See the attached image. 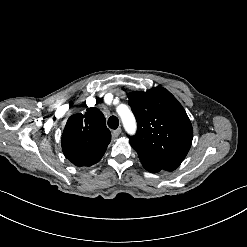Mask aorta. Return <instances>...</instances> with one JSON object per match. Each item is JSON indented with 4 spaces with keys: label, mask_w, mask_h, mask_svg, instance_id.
Segmentation results:
<instances>
[{
    "label": "aorta",
    "mask_w": 247,
    "mask_h": 247,
    "mask_svg": "<svg viewBox=\"0 0 247 247\" xmlns=\"http://www.w3.org/2000/svg\"><path fill=\"white\" fill-rule=\"evenodd\" d=\"M117 111L121 116L125 130L128 133H134L136 130V121L130 109L126 105H121Z\"/></svg>",
    "instance_id": "aorta-1"
}]
</instances>
